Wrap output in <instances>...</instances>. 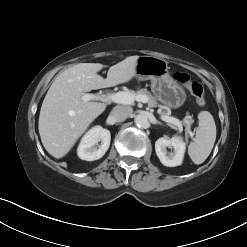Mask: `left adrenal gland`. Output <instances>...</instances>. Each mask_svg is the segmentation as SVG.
Wrapping results in <instances>:
<instances>
[{
	"instance_id": "a2214340",
	"label": "left adrenal gland",
	"mask_w": 247,
	"mask_h": 247,
	"mask_svg": "<svg viewBox=\"0 0 247 247\" xmlns=\"http://www.w3.org/2000/svg\"><path fill=\"white\" fill-rule=\"evenodd\" d=\"M158 123H159L160 125H162V123H161L160 121H159Z\"/></svg>"
}]
</instances>
